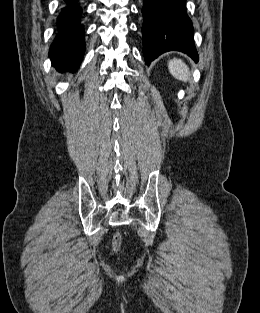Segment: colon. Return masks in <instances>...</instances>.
Returning a JSON list of instances; mask_svg holds the SVG:
<instances>
[{
	"label": "colon",
	"mask_w": 260,
	"mask_h": 313,
	"mask_svg": "<svg viewBox=\"0 0 260 313\" xmlns=\"http://www.w3.org/2000/svg\"><path fill=\"white\" fill-rule=\"evenodd\" d=\"M121 244H122V236L119 232H117L114 234L113 239H112V243H111L112 250L115 253H119L121 250Z\"/></svg>",
	"instance_id": "obj_1"
}]
</instances>
